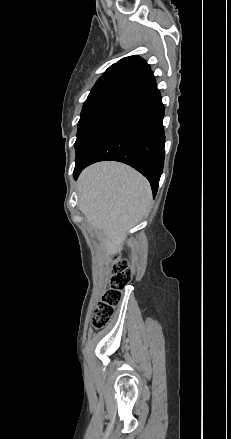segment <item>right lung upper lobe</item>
Instances as JSON below:
<instances>
[{"mask_svg": "<svg viewBox=\"0 0 231 439\" xmlns=\"http://www.w3.org/2000/svg\"><path fill=\"white\" fill-rule=\"evenodd\" d=\"M155 84V77L147 62L138 56H129L107 69L85 103L111 96H135Z\"/></svg>", "mask_w": 231, "mask_h": 439, "instance_id": "1", "label": "right lung upper lobe"}]
</instances>
